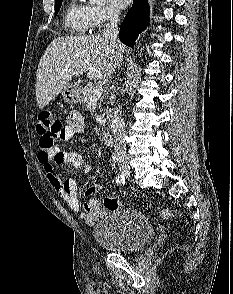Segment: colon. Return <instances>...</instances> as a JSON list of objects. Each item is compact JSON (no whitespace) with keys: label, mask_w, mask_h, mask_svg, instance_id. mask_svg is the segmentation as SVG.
Here are the masks:
<instances>
[{"label":"colon","mask_w":233,"mask_h":294,"mask_svg":"<svg viewBox=\"0 0 233 294\" xmlns=\"http://www.w3.org/2000/svg\"><path fill=\"white\" fill-rule=\"evenodd\" d=\"M36 132L39 136L40 149H52L56 140L64 132L63 121L50 109L43 110L39 116L36 125ZM104 207L108 210H118L121 207L116 198H106ZM160 215L165 219H170L173 213L168 209H162Z\"/></svg>","instance_id":"obj_1"}]
</instances>
